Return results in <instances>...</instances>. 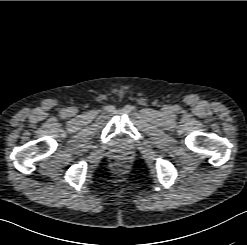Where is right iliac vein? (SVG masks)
<instances>
[{
	"label": "right iliac vein",
	"instance_id": "obj_1",
	"mask_svg": "<svg viewBox=\"0 0 247 245\" xmlns=\"http://www.w3.org/2000/svg\"><path fill=\"white\" fill-rule=\"evenodd\" d=\"M69 113H70L71 115H74V114H75V109H74V108H71V109L69 110Z\"/></svg>",
	"mask_w": 247,
	"mask_h": 245
}]
</instances>
